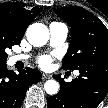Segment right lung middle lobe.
<instances>
[{"label":"right lung middle lobe","instance_id":"right-lung-middle-lobe-1","mask_svg":"<svg viewBox=\"0 0 108 108\" xmlns=\"http://www.w3.org/2000/svg\"><path fill=\"white\" fill-rule=\"evenodd\" d=\"M20 40L14 38L5 28V26L0 23V64L6 63L7 54L5 52L6 48H11L15 44H19Z\"/></svg>","mask_w":108,"mask_h":108}]
</instances>
